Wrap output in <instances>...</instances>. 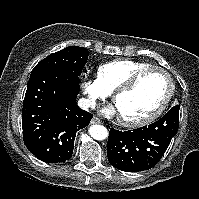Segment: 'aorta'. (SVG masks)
<instances>
[{
	"label": "aorta",
	"mask_w": 199,
	"mask_h": 199,
	"mask_svg": "<svg viewBox=\"0 0 199 199\" xmlns=\"http://www.w3.org/2000/svg\"><path fill=\"white\" fill-rule=\"evenodd\" d=\"M89 134L96 140H104L108 137V130L102 125H93L89 128Z\"/></svg>",
	"instance_id": "aorta-1"
}]
</instances>
